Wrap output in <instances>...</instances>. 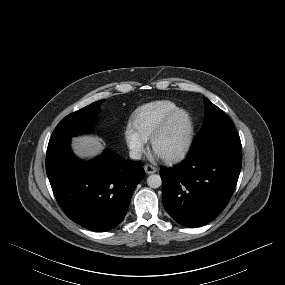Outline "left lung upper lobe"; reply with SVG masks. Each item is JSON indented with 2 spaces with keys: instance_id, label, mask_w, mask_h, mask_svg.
Instances as JSON below:
<instances>
[{
  "instance_id": "left-lung-upper-lobe-1",
  "label": "left lung upper lobe",
  "mask_w": 285,
  "mask_h": 285,
  "mask_svg": "<svg viewBox=\"0 0 285 285\" xmlns=\"http://www.w3.org/2000/svg\"><path fill=\"white\" fill-rule=\"evenodd\" d=\"M203 101L205 118L188 155L213 147L241 144L240 137L230 118L206 97L203 98Z\"/></svg>"
}]
</instances>
